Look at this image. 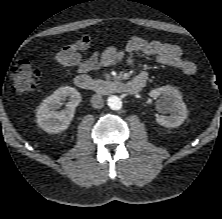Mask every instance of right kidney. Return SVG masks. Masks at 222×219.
<instances>
[{
    "label": "right kidney",
    "instance_id": "obj_1",
    "mask_svg": "<svg viewBox=\"0 0 222 219\" xmlns=\"http://www.w3.org/2000/svg\"><path fill=\"white\" fill-rule=\"evenodd\" d=\"M69 98L66 109L61 112L56 110L60 102ZM81 102L80 93L73 87L65 86L58 88L48 96L37 109L36 117L38 126L48 133H60L67 129L74 117L75 108Z\"/></svg>",
    "mask_w": 222,
    "mask_h": 219
}]
</instances>
